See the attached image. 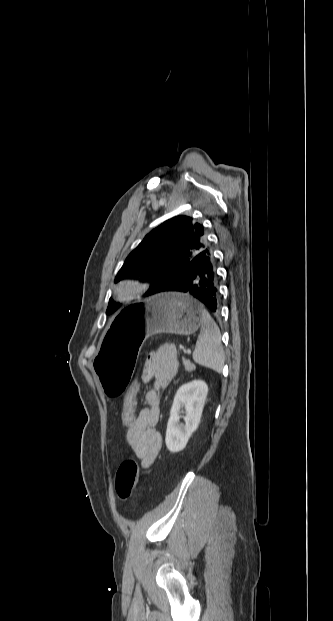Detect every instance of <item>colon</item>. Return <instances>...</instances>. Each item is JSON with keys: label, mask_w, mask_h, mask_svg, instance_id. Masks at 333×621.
<instances>
[{"label": "colon", "mask_w": 333, "mask_h": 621, "mask_svg": "<svg viewBox=\"0 0 333 621\" xmlns=\"http://www.w3.org/2000/svg\"><path fill=\"white\" fill-rule=\"evenodd\" d=\"M139 388L140 385L138 380H133L124 396L121 409V420L125 426H130L136 421L138 415L136 409ZM138 477L139 468L134 459H126L120 464L116 473L115 482L116 492L120 499L127 500L130 498L137 485Z\"/></svg>", "instance_id": "1"}]
</instances>
